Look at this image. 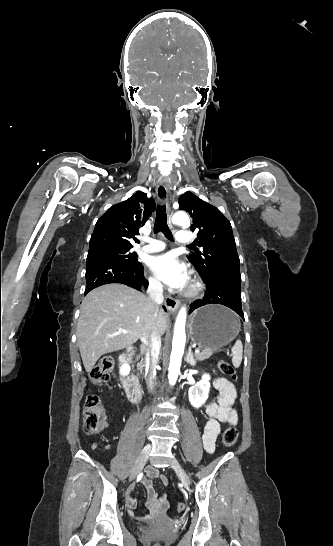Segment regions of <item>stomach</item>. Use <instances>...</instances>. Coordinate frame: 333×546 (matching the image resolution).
I'll list each match as a JSON object with an SVG mask.
<instances>
[{"label":"stomach","instance_id":"stomach-1","mask_svg":"<svg viewBox=\"0 0 333 546\" xmlns=\"http://www.w3.org/2000/svg\"><path fill=\"white\" fill-rule=\"evenodd\" d=\"M239 321L228 308L211 304L197 309L191 318L190 336L202 349H220L238 334Z\"/></svg>","mask_w":333,"mask_h":546}]
</instances>
